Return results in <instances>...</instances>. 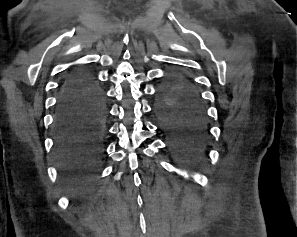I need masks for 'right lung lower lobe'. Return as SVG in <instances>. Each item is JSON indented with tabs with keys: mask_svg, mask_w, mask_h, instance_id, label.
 <instances>
[{
	"mask_svg": "<svg viewBox=\"0 0 297 237\" xmlns=\"http://www.w3.org/2000/svg\"><path fill=\"white\" fill-rule=\"evenodd\" d=\"M103 94L91 75L74 71L64 82L58 100L54 136L58 167L72 174H94L103 149Z\"/></svg>",
	"mask_w": 297,
	"mask_h": 237,
	"instance_id": "1",
	"label": "right lung lower lobe"
}]
</instances>
